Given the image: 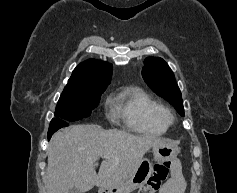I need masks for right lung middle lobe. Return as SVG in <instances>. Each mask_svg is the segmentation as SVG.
I'll use <instances>...</instances> for the list:
<instances>
[{
    "label": "right lung middle lobe",
    "instance_id": "obj_1",
    "mask_svg": "<svg viewBox=\"0 0 237 193\" xmlns=\"http://www.w3.org/2000/svg\"><path fill=\"white\" fill-rule=\"evenodd\" d=\"M105 89L66 85L56 106L55 116L58 118L55 119L76 121L90 116Z\"/></svg>",
    "mask_w": 237,
    "mask_h": 193
}]
</instances>
